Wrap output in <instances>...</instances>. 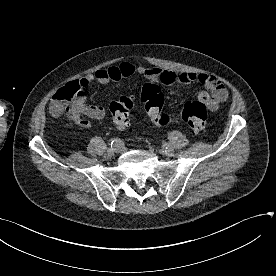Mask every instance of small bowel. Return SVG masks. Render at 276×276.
<instances>
[{"instance_id": "1", "label": "small bowel", "mask_w": 276, "mask_h": 276, "mask_svg": "<svg viewBox=\"0 0 276 276\" xmlns=\"http://www.w3.org/2000/svg\"><path fill=\"white\" fill-rule=\"evenodd\" d=\"M135 73L163 85L200 83L207 90L198 94V101L204 103L213 112L217 111L220 104L228 97V91L224 84L213 75L194 72L179 73L158 67L135 66L131 62L123 61L118 65L99 68L94 73L78 80L82 88V95L76 100L75 112L68 118L82 128H90L91 123L84 117L101 120L105 117L106 110L100 105L88 104L85 99L84 89L94 82L108 84L112 81L128 78Z\"/></svg>"}]
</instances>
